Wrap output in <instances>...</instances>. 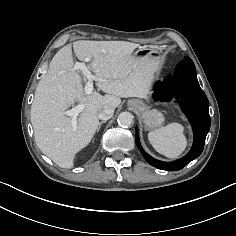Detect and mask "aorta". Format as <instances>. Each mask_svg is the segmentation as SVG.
<instances>
[{
  "label": "aorta",
  "instance_id": "762f6f07",
  "mask_svg": "<svg viewBox=\"0 0 236 236\" xmlns=\"http://www.w3.org/2000/svg\"><path fill=\"white\" fill-rule=\"evenodd\" d=\"M133 122V115L130 112H121L118 116V124L122 127H129Z\"/></svg>",
  "mask_w": 236,
  "mask_h": 236
}]
</instances>
